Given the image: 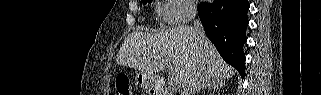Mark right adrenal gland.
Returning a JSON list of instances; mask_svg holds the SVG:
<instances>
[{
  "mask_svg": "<svg viewBox=\"0 0 321 95\" xmlns=\"http://www.w3.org/2000/svg\"><path fill=\"white\" fill-rule=\"evenodd\" d=\"M225 87V82L221 79H206L204 83L197 88V92L204 88L220 89Z\"/></svg>",
  "mask_w": 321,
  "mask_h": 95,
  "instance_id": "2a0ac1e0",
  "label": "right adrenal gland"
}]
</instances>
